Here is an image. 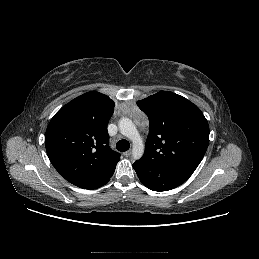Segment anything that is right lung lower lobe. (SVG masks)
I'll return each mask as SVG.
<instances>
[{
    "instance_id": "98d812e1",
    "label": "right lung lower lobe",
    "mask_w": 259,
    "mask_h": 259,
    "mask_svg": "<svg viewBox=\"0 0 259 259\" xmlns=\"http://www.w3.org/2000/svg\"><path fill=\"white\" fill-rule=\"evenodd\" d=\"M110 178H111V176L109 178H107L106 180H104L103 182H101L100 184H98L97 186H95L94 188H92V189L99 188V187L105 185L109 181Z\"/></svg>"
}]
</instances>
